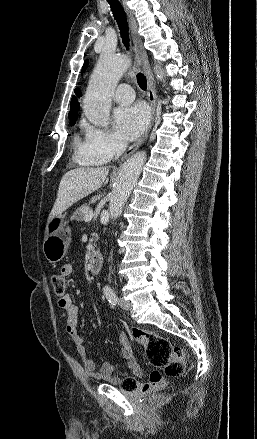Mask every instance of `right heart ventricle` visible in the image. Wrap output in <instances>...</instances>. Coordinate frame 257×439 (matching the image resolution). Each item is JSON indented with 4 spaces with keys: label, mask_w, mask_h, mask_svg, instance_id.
<instances>
[{
    "label": "right heart ventricle",
    "mask_w": 257,
    "mask_h": 439,
    "mask_svg": "<svg viewBox=\"0 0 257 439\" xmlns=\"http://www.w3.org/2000/svg\"><path fill=\"white\" fill-rule=\"evenodd\" d=\"M73 146H74L75 151L77 152V154L80 155L83 152L84 141H82L79 136H75L74 139H73ZM83 161H84L85 164H89V165H96V164L100 163V162H97V161L86 160V159H83Z\"/></svg>",
    "instance_id": "e07e8e85"
}]
</instances>
